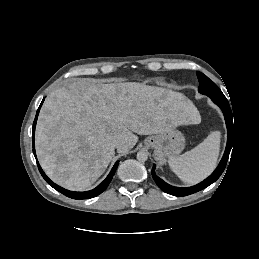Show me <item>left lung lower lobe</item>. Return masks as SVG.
<instances>
[{
    "label": "left lung lower lobe",
    "instance_id": "obj_1",
    "mask_svg": "<svg viewBox=\"0 0 259 259\" xmlns=\"http://www.w3.org/2000/svg\"><path fill=\"white\" fill-rule=\"evenodd\" d=\"M210 98L212 99V101L217 104L223 111L224 117H225V121H226V126H227V130H228V140H227V146H226V150L225 153L223 155L222 160L220 161L218 167L215 169V171L204 181H202L201 183L192 186V187H187V188H179V187H174L171 186L169 184H167L166 182H164L161 178H159L156 174H155V165H153L152 168V176L153 179L155 180L156 184L166 193L174 195V196H186V195H190L193 194L195 192H198L206 187H208L209 185H211L213 182H215L220 175L222 174V172L224 171L225 167H226V163L229 157V153L230 150L232 148L233 145V121H232V112L229 106V103L226 99L225 96H210Z\"/></svg>",
    "mask_w": 259,
    "mask_h": 259
}]
</instances>
